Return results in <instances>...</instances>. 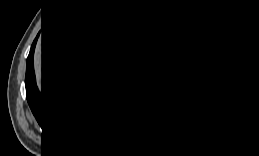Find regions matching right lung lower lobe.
I'll return each mask as SVG.
<instances>
[{
  "label": "right lung lower lobe",
  "instance_id": "right-lung-lower-lobe-1",
  "mask_svg": "<svg viewBox=\"0 0 259 156\" xmlns=\"http://www.w3.org/2000/svg\"><path fill=\"white\" fill-rule=\"evenodd\" d=\"M63 31L62 25L61 42L51 52H46L42 39V92L34 72L40 33L35 37L27 57L26 99L47 134L63 145L88 146L104 134L115 103L133 80L124 70L110 73L111 63L120 64L99 46L85 43L77 54L66 43Z\"/></svg>",
  "mask_w": 259,
  "mask_h": 156
}]
</instances>
